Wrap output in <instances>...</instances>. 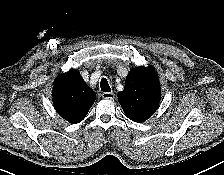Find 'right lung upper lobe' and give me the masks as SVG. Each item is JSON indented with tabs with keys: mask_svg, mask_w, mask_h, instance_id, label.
<instances>
[{
	"mask_svg": "<svg viewBox=\"0 0 224 175\" xmlns=\"http://www.w3.org/2000/svg\"><path fill=\"white\" fill-rule=\"evenodd\" d=\"M52 95L55 110L71 124L81 122L95 102L94 91L74 69L56 78Z\"/></svg>",
	"mask_w": 224,
	"mask_h": 175,
	"instance_id": "1",
	"label": "right lung upper lobe"
}]
</instances>
